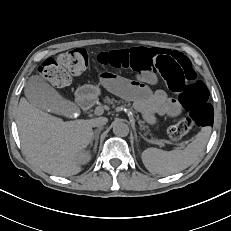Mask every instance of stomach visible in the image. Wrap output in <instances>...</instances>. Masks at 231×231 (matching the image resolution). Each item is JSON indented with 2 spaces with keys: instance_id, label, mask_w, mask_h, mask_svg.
I'll return each instance as SVG.
<instances>
[{
  "instance_id": "0dacf381",
  "label": "stomach",
  "mask_w": 231,
  "mask_h": 231,
  "mask_svg": "<svg viewBox=\"0 0 231 231\" xmlns=\"http://www.w3.org/2000/svg\"><path fill=\"white\" fill-rule=\"evenodd\" d=\"M100 89L97 86L94 85H84L80 87L76 95L80 100H92L99 96Z\"/></svg>"
}]
</instances>
